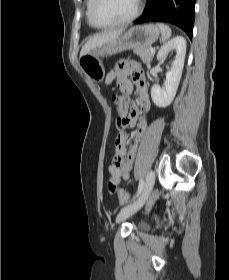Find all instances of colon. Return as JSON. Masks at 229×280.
Masks as SVG:
<instances>
[{
  "mask_svg": "<svg viewBox=\"0 0 229 280\" xmlns=\"http://www.w3.org/2000/svg\"><path fill=\"white\" fill-rule=\"evenodd\" d=\"M119 99L122 102V104L128 103V99L125 96H120ZM129 123H130L129 118L126 115L124 114L118 115L116 119L118 136H121L125 133L127 127L129 126ZM111 168L123 169L124 168L123 159L121 157L113 158ZM107 187L111 193L118 192L119 200L121 203H126L128 201L129 199L128 194L124 190L118 189L117 185L114 182L108 181Z\"/></svg>",
  "mask_w": 229,
  "mask_h": 280,
  "instance_id": "colon-1",
  "label": "colon"
}]
</instances>
